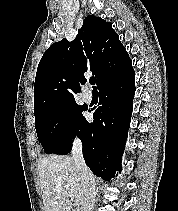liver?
Wrapping results in <instances>:
<instances>
[{
	"label": "liver",
	"instance_id": "obj_1",
	"mask_svg": "<svg viewBox=\"0 0 178 211\" xmlns=\"http://www.w3.org/2000/svg\"><path fill=\"white\" fill-rule=\"evenodd\" d=\"M38 172L45 211H81L84 185L72 156L43 157L38 161Z\"/></svg>",
	"mask_w": 178,
	"mask_h": 211
}]
</instances>
